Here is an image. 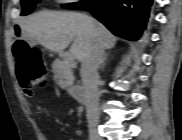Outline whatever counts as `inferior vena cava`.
I'll return each mask as SVG.
<instances>
[{
  "label": "inferior vena cava",
  "instance_id": "602c4592",
  "mask_svg": "<svg viewBox=\"0 0 182 140\" xmlns=\"http://www.w3.org/2000/svg\"><path fill=\"white\" fill-rule=\"evenodd\" d=\"M103 60V49L97 43L81 65L84 100L90 133L94 132L99 119L98 68Z\"/></svg>",
  "mask_w": 182,
  "mask_h": 140
}]
</instances>
